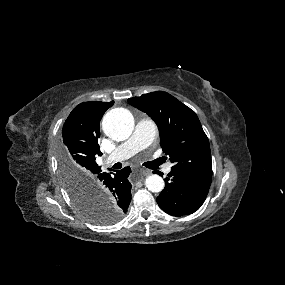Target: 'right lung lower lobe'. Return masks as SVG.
Masks as SVG:
<instances>
[{"label":"right lung lower lobe","mask_w":285,"mask_h":285,"mask_svg":"<svg viewBox=\"0 0 285 285\" xmlns=\"http://www.w3.org/2000/svg\"><path fill=\"white\" fill-rule=\"evenodd\" d=\"M130 173V167L109 173L101 170L88 182V187L94 189L103 201L114 206L123 215L131 201V184L128 181Z\"/></svg>","instance_id":"98d812e1"}]
</instances>
